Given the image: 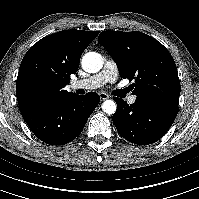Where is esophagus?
I'll return each mask as SVG.
<instances>
[{
  "label": "esophagus",
  "mask_w": 199,
  "mask_h": 199,
  "mask_svg": "<svg viewBox=\"0 0 199 199\" xmlns=\"http://www.w3.org/2000/svg\"><path fill=\"white\" fill-rule=\"evenodd\" d=\"M99 96H100V99H101L102 101L109 98L108 94H106L105 92H100V93H99Z\"/></svg>",
  "instance_id": "1"
}]
</instances>
